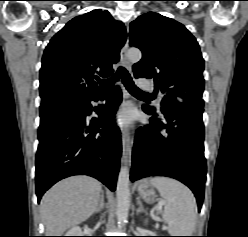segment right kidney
<instances>
[{
	"instance_id": "right-kidney-1",
	"label": "right kidney",
	"mask_w": 248,
	"mask_h": 237,
	"mask_svg": "<svg viewBox=\"0 0 248 237\" xmlns=\"http://www.w3.org/2000/svg\"><path fill=\"white\" fill-rule=\"evenodd\" d=\"M65 236H82V230L79 226L70 229Z\"/></svg>"
}]
</instances>
